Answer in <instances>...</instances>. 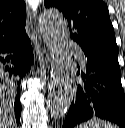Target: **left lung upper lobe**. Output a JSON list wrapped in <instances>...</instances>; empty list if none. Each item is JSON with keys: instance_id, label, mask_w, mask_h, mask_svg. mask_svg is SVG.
<instances>
[{"instance_id": "left-lung-upper-lobe-1", "label": "left lung upper lobe", "mask_w": 125, "mask_h": 128, "mask_svg": "<svg viewBox=\"0 0 125 128\" xmlns=\"http://www.w3.org/2000/svg\"><path fill=\"white\" fill-rule=\"evenodd\" d=\"M44 4L64 14L71 38L81 46L85 56L118 58L114 29L103 0H45Z\"/></svg>"}]
</instances>
